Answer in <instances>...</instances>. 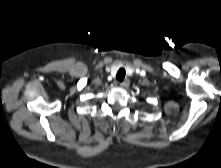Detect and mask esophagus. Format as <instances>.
I'll list each match as a JSON object with an SVG mask.
<instances>
[{
  "label": "esophagus",
  "mask_w": 221,
  "mask_h": 168,
  "mask_svg": "<svg viewBox=\"0 0 221 168\" xmlns=\"http://www.w3.org/2000/svg\"><path fill=\"white\" fill-rule=\"evenodd\" d=\"M129 84H130V81L128 79H126L120 83V86L123 88H127L129 86Z\"/></svg>",
  "instance_id": "1"
}]
</instances>
